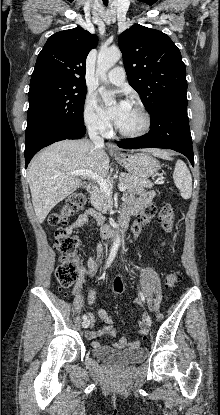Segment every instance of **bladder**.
<instances>
[{
    "mask_svg": "<svg viewBox=\"0 0 220 415\" xmlns=\"http://www.w3.org/2000/svg\"><path fill=\"white\" fill-rule=\"evenodd\" d=\"M92 353L96 358L117 366L137 364L145 360L147 357L146 348L116 351L109 348L97 346L92 347Z\"/></svg>",
    "mask_w": 220,
    "mask_h": 415,
    "instance_id": "obj_1",
    "label": "bladder"
}]
</instances>
